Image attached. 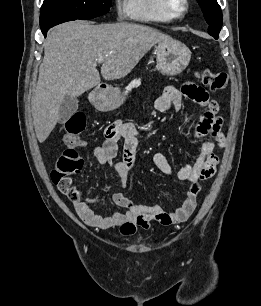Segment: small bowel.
Masks as SVG:
<instances>
[{
	"label": "small bowel",
	"instance_id": "c3829d8e",
	"mask_svg": "<svg viewBox=\"0 0 261 306\" xmlns=\"http://www.w3.org/2000/svg\"><path fill=\"white\" fill-rule=\"evenodd\" d=\"M183 96L197 102L204 110L195 129V136L201 139L200 152L175 174L178 180L190 183L182 204L174 211L167 212L159 205H138L123 194H116L113 197L115 205L125 211L104 216L87 202H74L75 211L87 225L103 230L118 228L122 235L130 236L139 228L148 229L152 221L169 226L186 221L193 213L200 192L199 182L215 173L218 157L214 151L216 146L225 143V136L221 129L222 118L219 116L218 104L210 100L208 92L198 85L186 83L181 89L166 88L156 98L155 107L160 112L171 108L179 110ZM139 138L140 133L133 124L116 121L106 127L105 141L96 146L92 153L100 164L114 166L120 180L124 182L134 166ZM120 140H123L122 158L114 162ZM84 144V141L79 140L77 146ZM153 161L162 173L168 176L174 174L167 158L161 152L155 153Z\"/></svg>",
	"mask_w": 261,
	"mask_h": 306
}]
</instances>
